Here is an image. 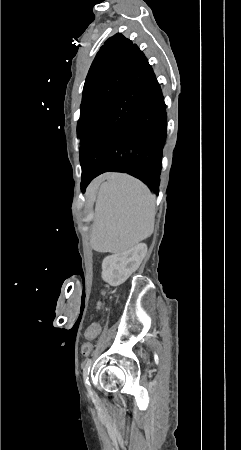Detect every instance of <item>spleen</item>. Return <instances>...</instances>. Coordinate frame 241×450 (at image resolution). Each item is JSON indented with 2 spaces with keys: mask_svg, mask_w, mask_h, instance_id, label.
Wrapping results in <instances>:
<instances>
[{
  "mask_svg": "<svg viewBox=\"0 0 241 450\" xmlns=\"http://www.w3.org/2000/svg\"><path fill=\"white\" fill-rule=\"evenodd\" d=\"M155 196L149 188L128 176L112 174L99 188L91 249L95 253L123 254L142 240L150 238L154 228Z\"/></svg>",
  "mask_w": 241,
  "mask_h": 450,
  "instance_id": "1",
  "label": "spleen"
}]
</instances>
